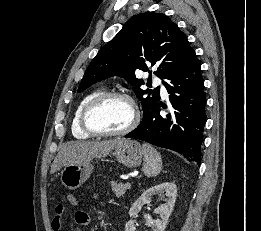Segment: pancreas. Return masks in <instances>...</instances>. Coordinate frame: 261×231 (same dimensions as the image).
Returning <instances> with one entry per match:
<instances>
[{
	"instance_id": "1",
	"label": "pancreas",
	"mask_w": 261,
	"mask_h": 231,
	"mask_svg": "<svg viewBox=\"0 0 261 231\" xmlns=\"http://www.w3.org/2000/svg\"><path fill=\"white\" fill-rule=\"evenodd\" d=\"M130 188L131 185L116 183L113 181L111 182V189L117 197L123 196L126 193V191L129 190Z\"/></svg>"
}]
</instances>
